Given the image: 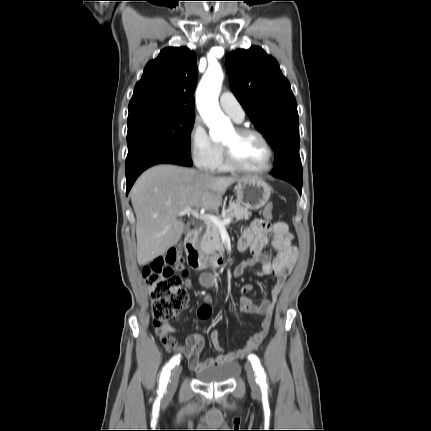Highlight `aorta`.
Here are the masks:
<instances>
[{
    "label": "aorta",
    "instance_id": "obj_1",
    "mask_svg": "<svg viewBox=\"0 0 431 431\" xmlns=\"http://www.w3.org/2000/svg\"><path fill=\"white\" fill-rule=\"evenodd\" d=\"M223 78L220 66H210L196 91L198 111L209 127V134L214 140L222 138L224 133L231 128L229 119L223 114L218 103Z\"/></svg>",
    "mask_w": 431,
    "mask_h": 431
}]
</instances>
